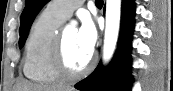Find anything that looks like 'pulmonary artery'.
I'll return each instance as SVG.
<instances>
[{"label":"pulmonary artery","instance_id":"pulmonary-artery-1","mask_svg":"<svg viewBox=\"0 0 173 91\" xmlns=\"http://www.w3.org/2000/svg\"><path fill=\"white\" fill-rule=\"evenodd\" d=\"M83 2V0H56L49 3L48 9L65 21Z\"/></svg>","mask_w":173,"mask_h":91}]
</instances>
